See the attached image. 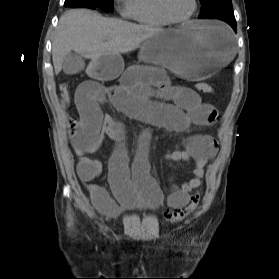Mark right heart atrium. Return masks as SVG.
<instances>
[{
  "mask_svg": "<svg viewBox=\"0 0 279 279\" xmlns=\"http://www.w3.org/2000/svg\"><path fill=\"white\" fill-rule=\"evenodd\" d=\"M118 12L126 18H131L134 11V0H115Z\"/></svg>",
  "mask_w": 279,
  "mask_h": 279,
  "instance_id": "d8ad5b80",
  "label": "right heart atrium"
}]
</instances>
